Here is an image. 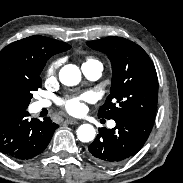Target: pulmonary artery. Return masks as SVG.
Instances as JSON below:
<instances>
[{"mask_svg": "<svg viewBox=\"0 0 183 183\" xmlns=\"http://www.w3.org/2000/svg\"><path fill=\"white\" fill-rule=\"evenodd\" d=\"M83 74L88 78L89 80H97L101 77L103 67L102 64L99 61H93L90 63H85L82 66ZM50 105V103L46 100H39L34 103V108L36 111H39L43 108H46ZM110 127L114 126V123L109 124Z\"/></svg>", "mask_w": 183, "mask_h": 183, "instance_id": "obj_1", "label": "pulmonary artery"}]
</instances>
